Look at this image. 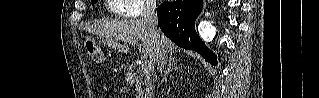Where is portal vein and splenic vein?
<instances>
[{"label": "portal vein and splenic vein", "mask_w": 319, "mask_h": 98, "mask_svg": "<svg viewBox=\"0 0 319 98\" xmlns=\"http://www.w3.org/2000/svg\"><path fill=\"white\" fill-rule=\"evenodd\" d=\"M120 38L117 37V40H119ZM127 42H129L132 45H136L137 42L135 40H132L130 38L126 39ZM141 69L143 73H149L152 71L153 66H152V62L151 61H144L141 65Z\"/></svg>", "instance_id": "portal-vein-and-splenic-vein-1"}]
</instances>
